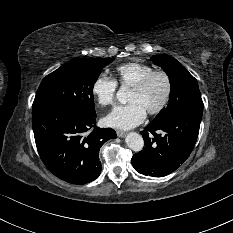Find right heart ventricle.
Returning <instances> with one entry per match:
<instances>
[{"mask_svg": "<svg viewBox=\"0 0 233 233\" xmlns=\"http://www.w3.org/2000/svg\"><path fill=\"white\" fill-rule=\"evenodd\" d=\"M115 71L117 81L121 86L133 87L146 75L153 72L154 68L144 63L129 62L119 65Z\"/></svg>", "mask_w": 233, "mask_h": 233, "instance_id": "right-heart-ventricle-1", "label": "right heart ventricle"}]
</instances>
